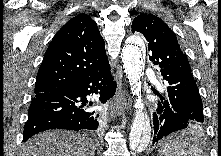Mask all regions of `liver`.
<instances>
[{"mask_svg":"<svg viewBox=\"0 0 221 156\" xmlns=\"http://www.w3.org/2000/svg\"><path fill=\"white\" fill-rule=\"evenodd\" d=\"M95 145L84 135L51 130L36 134L22 146L21 156H94Z\"/></svg>","mask_w":221,"mask_h":156,"instance_id":"obj_1","label":"liver"}]
</instances>
